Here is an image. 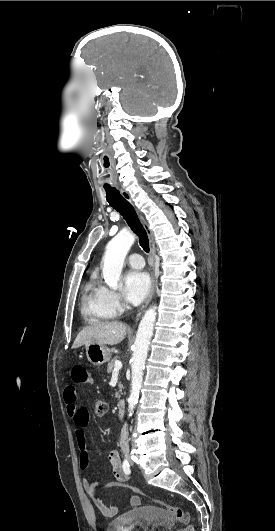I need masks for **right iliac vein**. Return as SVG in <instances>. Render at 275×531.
<instances>
[{
	"mask_svg": "<svg viewBox=\"0 0 275 531\" xmlns=\"http://www.w3.org/2000/svg\"><path fill=\"white\" fill-rule=\"evenodd\" d=\"M126 458H127V459H129V456H128V455H126Z\"/></svg>",
	"mask_w": 275,
	"mask_h": 531,
	"instance_id": "right-iliac-vein-1",
	"label": "right iliac vein"
}]
</instances>
